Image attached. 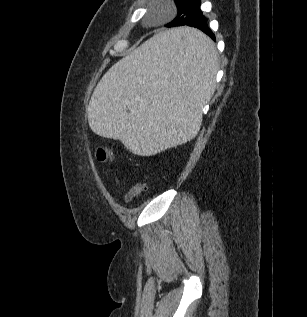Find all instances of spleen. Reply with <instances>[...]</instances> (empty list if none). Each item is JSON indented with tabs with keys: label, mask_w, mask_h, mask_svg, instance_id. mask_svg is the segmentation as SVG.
<instances>
[{
	"label": "spleen",
	"mask_w": 307,
	"mask_h": 317,
	"mask_svg": "<svg viewBox=\"0 0 307 317\" xmlns=\"http://www.w3.org/2000/svg\"><path fill=\"white\" fill-rule=\"evenodd\" d=\"M216 62L200 29H162L106 73L91 97V129L119 139L134 155L174 150L200 129Z\"/></svg>",
	"instance_id": "1"
}]
</instances>
